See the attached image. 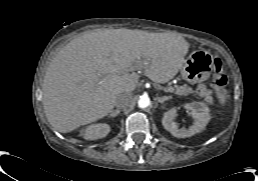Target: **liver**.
<instances>
[{
  "label": "liver",
  "mask_w": 258,
  "mask_h": 181,
  "mask_svg": "<svg viewBox=\"0 0 258 181\" xmlns=\"http://www.w3.org/2000/svg\"><path fill=\"white\" fill-rule=\"evenodd\" d=\"M189 44L171 33L105 29L70 41L49 64L42 84L51 126L67 133L112 111L117 97L132 93L135 70L166 83L182 68Z\"/></svg>",
  "instance_id": "6515ba94"
}]
</instances>
